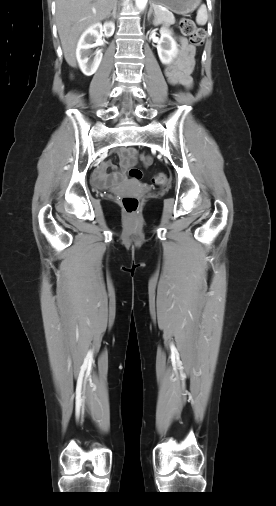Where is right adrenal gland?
Masks as SVG:
<instances>
[{
  "label": "right adrenal gland",
  "instance_id": "right-adrenal-gland-1",
  "mask_svg": "<svg viewBox=\"0 0 276 506\" xmlns=\"http://www.w3.org/2000/svg\"><path fill=\"white\" fill-rule=\"evenodd\" d=\"M116 11H117V3H115V5L113 7V11L108 17L112 16L113 19H116Z\"/></svg>",
  "mask_w": 276,
  "mask_h": 506
}]
</instances>
